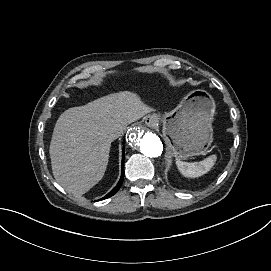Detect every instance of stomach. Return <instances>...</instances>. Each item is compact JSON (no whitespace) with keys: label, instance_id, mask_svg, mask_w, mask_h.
<instances>
[{"label":"stomach","instance_id":"obj_1","mask_svg":"<svg viewBox=\"0 0 271 271\" xmlns=\"http://www.w3.org/2000/svg\"><path fill=\"white\" fill-rule=\"evenodd\" d=\"M214 111V101L205 91L187 95L162 118L167 150L177 158L203 154L212 142Z\"/></svg>","mask_w":271,"mask_h":271}]
</instances>
